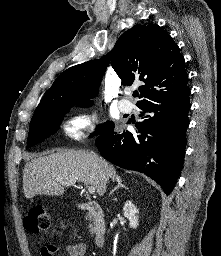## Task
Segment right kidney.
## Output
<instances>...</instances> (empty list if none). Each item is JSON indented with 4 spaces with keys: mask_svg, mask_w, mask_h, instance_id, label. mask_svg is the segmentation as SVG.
<instances>
[{
    "mask_svg": "<svg viewBox=\"0 0 221 256\" xmlns=\"http://www.w3.org/2000/svg\"><path fill=\"white\" fill-rule=\"evenodd\" d=\"M124 216L129 220V226L136 229L138 226V209L131 201H126L124 207Z\"/></svg>",
    "mask_w": 221,
    "mask_h": 256,
    "instance_id": "right-kidney-1",
    "label": "right kidney"
}]
</instances>
